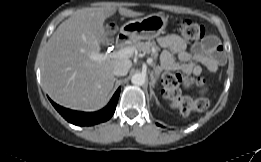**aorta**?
Here are the masks:
<instances>
[{
	"instance_id": "1",
	"label": "aorta",
	"mask_w": 261,
	"mask_h": 162,
	"mask_svg": "<svg viewBox=\"0 0 261 162\" xmlns=\"http://www.w3.org/2000/svg\"><path fill=\"white\" fill-rule=\"evenodd\" d=\"M146 77L142 73H135L132 78L131 82L134 85L142 86L145 83Z\"/></svg>"
}]
</instances>
